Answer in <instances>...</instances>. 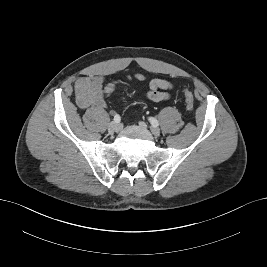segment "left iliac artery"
Listing matches in <instances>:
<instances>
[{"label": "left iliac artery", "mask_w": 267, "mask_h": 267, "mask_svg": "<svg viewBox=\"0 0 267 267\" xmlns=\"http://www.w3.org/2000/svg\"><path fill=\"white\" fill-rule=\"evenodd\" d=\"M149 121L152 124V126H154V127L159 126V122H158V120L156 118L150 117Z\"/></svg>", "instance_id": "44dca946"}]
</instances>
